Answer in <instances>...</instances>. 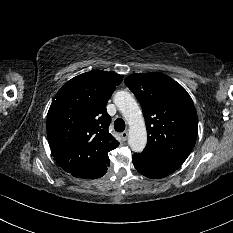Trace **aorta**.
<instances>
[{
  "label": "aorta",
  "mask_w": 233,
  "mask_h": 233,
  "mask_svg": "<svg viewBox=\"0 0 233 233\" xmlns=\"http://www.w3.org/2000/svg\"><path fill=\"white\" fill-rule=\"evenodd\" d=\"M114 103L129 125L128 144L132 151L142 152L147 143V131L140 107L127 91H118Z\"/></svg>",
  "instance_id": "obj_1"
}]
</instances>
